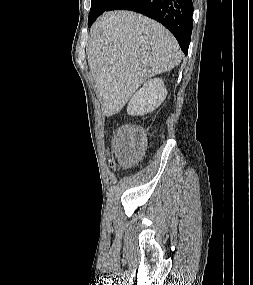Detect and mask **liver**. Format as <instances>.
I'll use <instances>...</instances> for the list:
<instances>
[{
    "instance_id": "6515ba94",
    "label": "liver",
    "mask_w": 253,
    "mask_h": 285,
    "mask_svg": "<svg viewBox=\"0 0 253 285\" xmlns=\"http://www.w3.org/2000/svg\"><path fill=\"white\" fill-rule=\"evenodd\" d=\"M181 57L160 23L132 11L101 15L90 30L87 59L103 114L118 113L147 79L172 70Z\"/></svg>"
}]
</instances>
